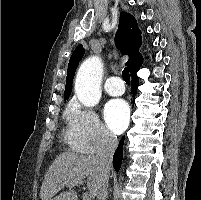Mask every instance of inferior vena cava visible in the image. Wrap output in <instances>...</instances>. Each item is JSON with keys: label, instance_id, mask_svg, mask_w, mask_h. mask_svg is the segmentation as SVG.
<instances>
[{"label": "inferior vena cava", "instance_id": "inferior-vena-cava-1", "mask_svg": "<svg viewBox=\"0 0 201 200\" xmlns=\"http://www.w3.org/2000/svg\"><path fill=\"white\" fill-rule=\"evenodd\" d=\"M117 145H118L117 137H115L110 133H105L103 135L99 150L95 156L96 161L98 162L103 172L101 186L99 188L97 195L98 200H106L107 198L108 173L112 157L115 149L117 148Z\"/></svg>", "mask_w": 201, "mask_h": 200}]
</instances>
